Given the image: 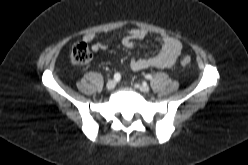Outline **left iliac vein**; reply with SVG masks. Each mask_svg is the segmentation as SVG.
Masks as SVG:
<instances>
[{"label": "left iliac vein", "instance_id": "1", "mask_svg": "<svg viewBox=\"0 0 248 165\" xmlns=\"http://www.w3.org/2000/svg\"><path fill=\"white\" fill-rule=\"evenodd\" d=\"M134 86L135 88L139 89L140 91L144 93H148L150 91V87L147 84L136 83Z\"/></svg>", "mask_w": 248, "mask_h": 165}]
</instances>
